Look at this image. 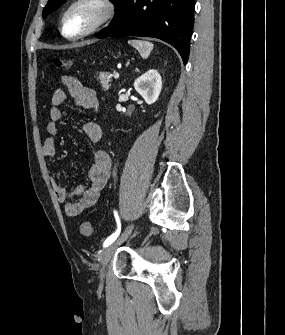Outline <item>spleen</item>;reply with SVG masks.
<instances>
[{
  "label": "spleen",
  "instance_id": "3e777b00",
  "mask_svg": "<svg viewBox=\"0 0 285 335\" xmlns=\"http://www.w3.org/2000/svg\"><path fill=\"white\" fill-rule=\"evenodd\" d=\"M128 44H131L135 50H138L141 58H149L154 46L151 42H144V40H129Z\"/></svg>",
  "mask_w": 285,
  "mask_h": 335
}]
</instances>
